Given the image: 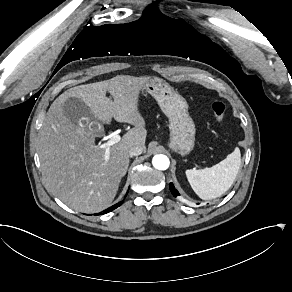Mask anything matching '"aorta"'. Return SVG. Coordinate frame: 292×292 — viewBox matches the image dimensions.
Wrapping results in <instances>:
<instances>
[{
	"label": "aorta",
	"mask_w": 292,
	"mask_h": 292,
	"mask_svg": "<svg viewBox=\"0 0 292 292\" xmlns=\"http://www.w3.org/2000/svg\"><path fill=\"white\" fill-rule=\"evenodd\" d=\"M153 166L158 170H167L170 165L169 158L166 155H156L152 160Z\"/></svg>",
	"instance_id": "1"
}]
</instances>
